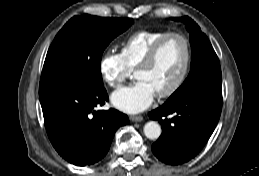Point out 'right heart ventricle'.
Returning <instances> with one entry per match:
<instances>
[{
	"label": "right heart ventricle",
	"mask_w": 259,
	"mask_h": 176,
	"mask_svg": "<svg viewBox=\"0 0 259 176\" xmlns=\"http://www.w3.org/2000/svg\"><path fill=\"white\" fill-rule=\"evenodd\" d=\"M166 33L164 30H141L130 35L120 50V56L127 68L134 70L153 44Z\"/></svg>",
	"instance_id": "e07e8e85"
}]
</instances>
